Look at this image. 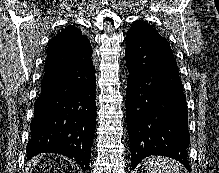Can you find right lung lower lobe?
<instances>
[{
	"instance_id": "right-lung-lower-lobe-1",
	"label": "right lung lower lobe",
	"mask_w": 219,
	"mask_h": 173,
	"mask_svg": "<svg viewBox=\"0 0 219 173\" xmlns=\"http://www.w3.org/2000/svg\"><path fill=\"white\" fill-rule=\"evenodd\" d=\"M91 55L76 56L63 66L46 60L30 124L28 159L39 153H58L74 158L84 171L88 169L96 125Z\"/></svg>"
}]
</instances>
